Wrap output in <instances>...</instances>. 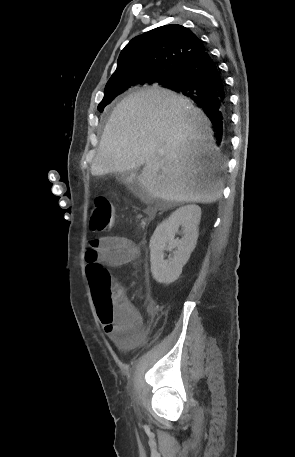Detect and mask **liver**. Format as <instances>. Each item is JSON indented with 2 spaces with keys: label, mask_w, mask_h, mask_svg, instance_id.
<instances>
[{
  "label": "liver",
  "mask_w": 295,
  "mask_h": 457,
  "mask_svg": "<svg viewBox=\"0 0 295 457\" xmlns=\"http://www.w3.org/2000/svg\"><path fill=\"white\" fill-rule=\"evenodd\" d=\"M210 121L190 100L152 88L130 94L105 125L93 176L144 168L139 184L153 198L212 203L222 194L220 154Z\"/></svg>",
  "instance_id": "6515ba94"
}]
</instances>
